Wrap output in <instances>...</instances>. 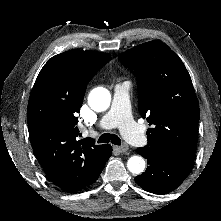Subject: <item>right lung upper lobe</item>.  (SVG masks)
Listing matches in <instances>:
<instances>
[{"label":"right lung upper lobe","instance_id":"cb5924a9","mask_svg":"<svg viewBox=\"0 0 221 221\" xmlns=\"http://www.w3.org/2000/svg\"><path fill=\"white\" fill-rule=\"evenodd\" d=\"M109 60V54L79 49L58 54L43 66L30 94L31 145L50 180L67 192L94 183L106 162L108 144L78 140L75 115L88 82Z\"/></svg>","mask_w":221,"mask_h":221}]
</instances>
